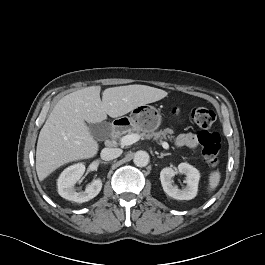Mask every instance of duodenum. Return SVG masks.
Wrapping results in <instances>:
<instances>
[{"mask_svg":"<svg viewBox=\"0 0 265 265\" xmlns=\"http://www.w3.org/2000/svg\"><path fill=\"white\" fill-rule=\"evenodd\" d=\"M127 125H128V122L126 121H119V120L115 121L111 126V136H110L109 141H107V144L111 145L112 140L116 138L117 136H119L124 131V129L127 127Z\"/></svg>","mask_w":265,"mask_h":265,"instance_id":"duodenum-1","label":"duodenum"}]
</instances>
